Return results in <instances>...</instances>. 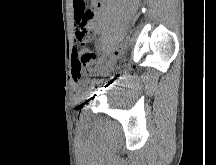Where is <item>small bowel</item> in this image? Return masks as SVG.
Returning a JSON list of instances; mask_svg holds the SVG:
<instances>
[{"label": "small bowel", "instance_id": "obj_1", "mask_svg": "<svg viewBox=\"0 0 216 165\" xmlns=\"http://www.w3.org/2000/svg\"><path fill=\"white\" fill-rule=\"evenodd\" d=\"M73 12L75 20V34L81 25L91 32V37L102 28L104 17L103 0H91V5H86V0H73ZM84 13H92L89 20L84 21ZM79 78V77H78ZM75 77V81L78 79Z\"/></svg>", "mask_w": 216, "mask_h": 165}]
</instances>
